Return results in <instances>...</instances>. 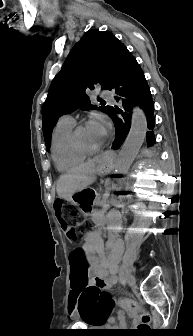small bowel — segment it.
<instances>
[{
    "mask_svg": "<svg viewBox=\"0 0 193 336\" xmlns=\"http://www.w3.org/2000/svg\"><path fill=\"white\" fill-rule=\"evenodd\" d=\"M96 221L102 223L104 221V214L98 215ZM109 250L107 254L105 249ZM86 263H88L93 270L96 279L103 283L109 289L117 282L118 263L122 254V243L120 240L109 239L104 243L103 236L100 230L89 232L81 247ZM76 291L72 288L70 298L75 300ZM124 304V302H123ZM119 319L124 317L119 315ZM113 319L108 320V325H112Z\"/></svg>",
    "mask_w": 193,
    "mask_h": 336,
    "instance_id": "obj_1",
    "label": "small bowel"
}]
</instances>
